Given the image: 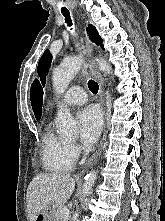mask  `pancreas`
<instances>
[{
    "instance_id": "1",
    "label": "pancreas",
    "mask_w": 165,
    "mask_h": 221,
    "mask_svg": "<svg viewBox=\"0 0 165 221\" xmlns=\"http://www.w3.org/2000/svg\"><path fill=\"white\" fill-rule=\"evenodd\" d=\"M64 206H58L55 208V212H54V221H68V219H63L60 215V210L63 208Z\"/></svg>"
}]
</instances>
